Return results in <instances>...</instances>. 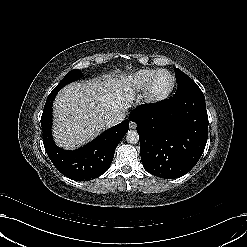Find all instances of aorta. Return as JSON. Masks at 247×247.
I'll return each instance as SVG.
<instances>
[{"mask_svg":"<svg viewBox=\"0 0 247 247\" xmlns=\"http://www.w3.org/2000/svg\"><path fill=\"white\" fill-rule=\"evenodd\" d=\"M126 140L130 144H136L139 141V134L135 130H130L126 134Z\"/></svg>","mask_w":247,"mask_h":247,"instance_id":"aorta-1","label":"aorta"}]
</instances>
